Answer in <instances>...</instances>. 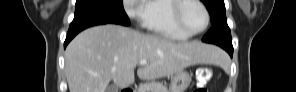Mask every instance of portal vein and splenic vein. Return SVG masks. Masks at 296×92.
<instances>
[{"label": "portal vein and splenic vein", "instance_id": "18ae733b", "mask_svg": "<svg viewBox=\"0 0 296 92\" xmlns=\"http://www.w3.org/2000/svg\"><path fill=\"white\" fill-rule=\"evenodd\" d=\"M139 64H140V65H145V64H147V60H146V59H141V60L139 61Z\"/></svg>", "mask_w": 296, "mask_h": 92}]
</instances>
